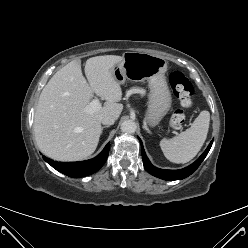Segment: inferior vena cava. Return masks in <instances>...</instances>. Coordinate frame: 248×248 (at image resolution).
Instances as JSON below:
<instances>
[{
  "label": "inferior vena cava",
  "instance_id": "1",
  "mask_svg": "<svg viewBox=\"0 0 248 248\" xmlns=\"http://www.w3.org/2000/svg\"><path fill=\"white\" fill-rule=\"evenodd\" d=\"M115 122V118L110 115L103 116L101 119V123L104 125H113Z\"/></svg>",
  "mask_w": 248,
  "mask_h": 248
}]
</instances>
